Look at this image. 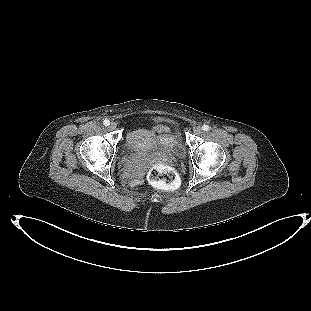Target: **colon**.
Masks as SVG:
<instances>
[{
	"label": "colon",
	"instance_id": "colon-1",
	"mask_svg": "<svg viewBox=\"0 0 311 311\" xmlns=\"http://www.w3.org/2000/svg\"><path fill=\"white\" fill-rule=\"evenodd\" d=\"M149 182L160 189L172 190L179 181L178 174L171 166L163 163H155L147 174Z\"/></svg>",
	"mask_w": 311,
	"mask_h": 311
}]
</instances>
